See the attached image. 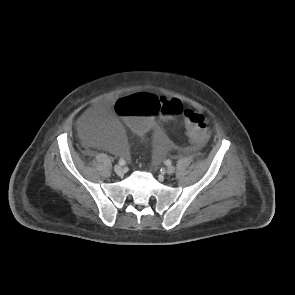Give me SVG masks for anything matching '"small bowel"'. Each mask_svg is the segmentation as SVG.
Listing matches in <instances>:
<instances>
[{
  "mask_svg": "<svg viewBox=\"0 0 295 295\" xmlns=\"http://www.w3.org/2000/svg\"><path fill=\"white\" fill-rule=\"evenodd\" d=\"M138 94V93H136ZM162 117L164 119H166V116H163ZM150 130H153L154 132V135H155V139L158 141V140H163V132H162V128L161 126L159 125L158 121H156V123L150 127ZM158 149V148H157ZM157 149H156V154H157Z\"/></svg>",
  "mask_w": 295,
  "mask_h": 295,
  "instance_id": "small-bowel-1",
  "label": "small bowel"
}]
</instances>
